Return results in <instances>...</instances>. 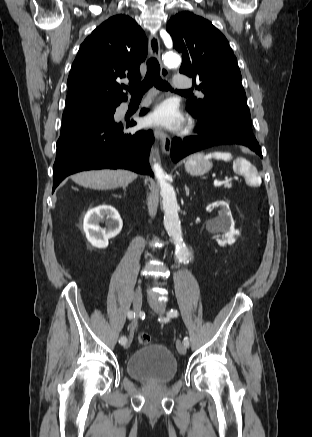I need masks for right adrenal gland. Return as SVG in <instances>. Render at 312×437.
<instances>
[{
  "instance_id": "obj_1",
  "label": "right adrenal gland",
  "mask_w": 312,
  "mask_h": 437,
  "mask_svg": "<svg viewBox=\"0 0 312 437\" xmlns=\"http://www.w3.org/2000/svg\"><path fill=\"white\" fill-rule=\"evenodd\" d=\"M124 191H126V187H123Z\"/></svg>"
}]
</instances>
